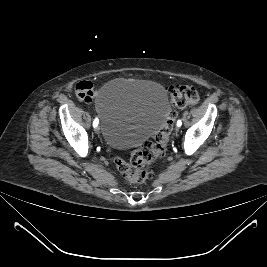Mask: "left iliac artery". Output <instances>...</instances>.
<instances>
[{"instance_id": "1", "label": "left iliac artery", "mask_w": 267, "mask_h": 267, "mask_svg": "<svg viewBox=\"0 0 267 267\" xmlns=\"http://www.w3.org/2000/svg\"><path fill=\"white\" fill-rule=\"evenodd\" d=\"M181 125H182L181 120H178V121H177V126H181Z\"/></svg>"}]
</instances>
